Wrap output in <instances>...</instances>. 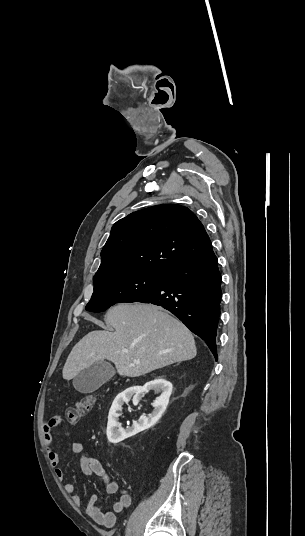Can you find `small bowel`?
<instances>
[{
	"label": "small bowel",
	"mask_w": 305,
	"mask_h": 536,
	"mask_svg": "<svg viewBox=\"0 0 305 536\" xmlns=\"http://www.w3.org/2000/svg\"><path fill=\"white\" fill-rule=\"evenodd\" d=\"M56 418H59V415H56ZM56 425L57 422L53 418H50L44 422L42 427L44 432L43 440L49 461L54 468L55 476L58 480L62 481L65 477V474L60 467V457L59 454L52 448L55 437V434L52 432V430L56 427ZM71 451L79 456L81 471L84 476H89L92 474L98 476L104 484L105 491L109 494H114L119 491L118 482L107 475L101 462L87 453L81 442H74L71 445ZM64 490L68 495L71 496L75 505L79 506L81 504V497L78 494H75V485L73 483H66L64 485ZM97 501L98 497L96 494H92L89 497L85 508L86 514L97 524L107 528H112L116 524V514L121 513L128 508L132 503V498L128 491L122 490L119 497L112 503L111 511H102L98 506Z\"/></svg>",
	"instance_id": "1"
}]
</instances>
